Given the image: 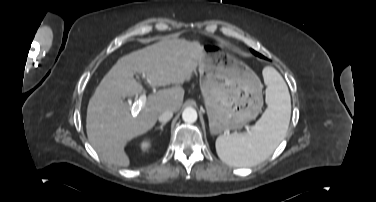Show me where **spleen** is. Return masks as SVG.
I'll return each mask as SVG.
<instances>
[{
	"label": "spleen",
	"instance_id": "obj_1",
	"mask_svg": "<svg viewBox=\"0 0 376 202\" xmlns=\"http://www.w3.org/2000/svg\"><path fill=\"white\" fill-rule=\"evenodd\" d=\"M266 88L265 110L247 133L220 135L216 139L219 158L235 167H250L265 161L284 139L288 130L291 101L286 83L273 67H264Z\"/></svg>",
	"mask_w": 376,
	"mask_h": 202
}]
</instances>
